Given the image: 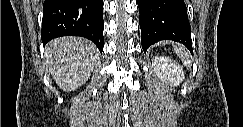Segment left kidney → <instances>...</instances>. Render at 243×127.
<instances>
[{"instance_id":"left-kidney-1","label":"left kidney","mask_w":243,"mask_h":127,"mask_svg":"<svg viewBox=\"0 0 243 127\" xmlns=\"http://www.w3.org/2000/svg\"><path fill=\"white\" fill-rule=\"evenodd\" d=\"M152 65L156 75L171 86H177L184 80L182 67L170 58L155 56L152 59Z\"/></svg>"}]
</instances>
